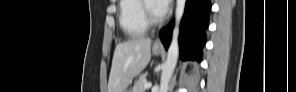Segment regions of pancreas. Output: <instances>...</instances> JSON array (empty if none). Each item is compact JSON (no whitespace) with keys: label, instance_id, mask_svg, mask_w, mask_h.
<instances>
[{"label":"pancreas","instance_id":"cf45deb5","mask_svg":"<svg viewBox=\"0 0 296 92\" xmlns=\"http://www.w3.org/2000/svg\"><path fill=\"white\" fill-rule=\"evenodd\" d=\"M146 74H142L139 79L136 81L134 87H133V90L132 92H145V83H147L146 81Z\"/></svg>","mask_w":296,"mask_h":92}]
</instances>
